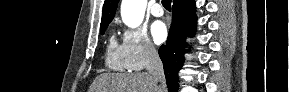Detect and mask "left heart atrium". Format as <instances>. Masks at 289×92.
Instances as JSON below:
<instances>
[{
    "instance_id": "left-heart-atrium-1",
    "label": "left heart atrium",
    "mask_w": 289,
    "mask_h": 92,
    "mask_svg": "<svg viewBox=\"0 0 289 92\" xmlns=\"http://www.w3.org/2000/svg\"><path fill=\"white\" fill-rule=\"evenodd\" d=\"M151 34L155 43L161 44L164 42L167 38V28L165 24L161 21H155L151 25Z\"/></svg>"
}]
</instances>
